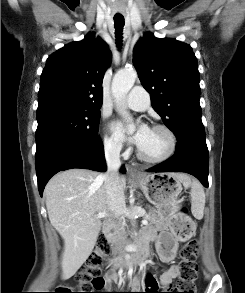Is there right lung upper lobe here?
<instances>
[{"label": "right lung upper lobe", "mask_w": 245, "mask_h": 293, "mask_svg": "<svg viewBox=\"0 0 245 293\" xmlns=\"http://www.w3.org/2000/svg\"><path fill=\"white\" fill-rule=\"evenodd\" d=\"M109 65L110 51L93 33L65 45L46 61L38 109L50 106L99 109L103 100L102 81Z\"/></svg>", "instance_id": "cb5924a9"}]
</instances>
